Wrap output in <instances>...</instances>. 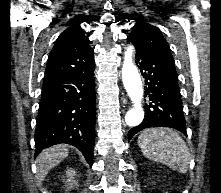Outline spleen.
Listing matches in <instances>:
<instances>
[{
  "instance_id": "obj_1",
  "label": "spleen",
  "mask_w": 221,
  "mask_h": 193,
  "mask_svg": "<svg viewBox=\"0 0 221 193\" xmlns=\"http://www.w3.org/2000/svg\"><path fill=\"white\" fill-rule=\"evenodd\" d=\"M137 142L148 159L182 173L187 172L190 159L188 147L176 131L169 128H148L140 133Z\"/></svg>"
}]
</instances>
